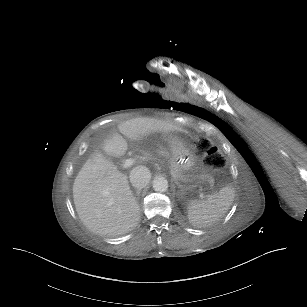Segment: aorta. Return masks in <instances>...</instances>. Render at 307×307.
I'll use <instances>...</instances> for the list:
<instances>
[{
    "mask_svg": "<svg viewBox=\"0 0 307 307\" xmlns=\"http://www.w3.org/2000/svg\"><path fill=\"white\" fill-rule=\"evenodd\" d=\"M169 184L167 179H165L164 177H156L153 180V189L156 192H166L168 190Z\"/></svg>",
    "mask_w": 307,
    "mask_h": 307,
    "instance_id": "762f6f07",
    "label": "aorta"
}]
</instances>
